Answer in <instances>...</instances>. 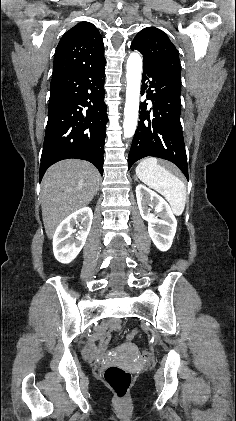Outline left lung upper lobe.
<instances>
[{
	"label": "left lung upper lobe",
	"mask_w": 236,
	"mask_h": 421,
	"mask_svg": "<svg viewBox=\"0 0 236 421\" xmlns=\"http://www.w3.org/2000/svg\"><path fill=\"white\" fill-rule=\"evenodd\" d=\"M131 49L143 55V65L181 78L178 51L162 30L155 27L142 29L133 39Z\"/></svg>",
	"instance_id": "obj_1"
}]
</instances>
